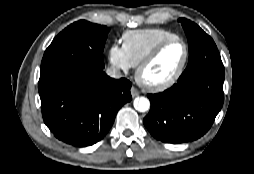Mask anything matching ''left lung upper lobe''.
Instances as JSON below:
<instances>
[{
    "label": "left lung upper lobe",
    "mask_w": 254,
    "mask_h": 174,
    "mask_svg": "<svg viewBox=\"0 0 254 174\" xmlns=\"http://www.w3.org/2000/svg\"><path fill=\"white\" fill-rule=\"evenodd\" d=\"M178 21L184 28L189 44L188 65L179 79H187L209 70L224 72L219 51L212 38L194 22L185 18Z\"/></svg>",
    "instance_id": "5c2ea615"
}]
</instances>
